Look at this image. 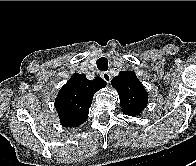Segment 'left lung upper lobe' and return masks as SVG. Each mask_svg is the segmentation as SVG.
<instances>
[{
    "label": "left lung upper lobe",
    "instance_id": "1",
    "mask_svg": "<svg viewBox=\"0 0 196 166\" xmlns=\"http://www.w3.org/2000/svg\"><path fill=\"white\" fill-rule=\"evenodd\" d=\"M120 97L122 112L128 116H139L148 103V93L133 71H121L111 80Z\"/></svg>",
    "mask_w": 196,
    "mask_h": 166
}]
</instances>
